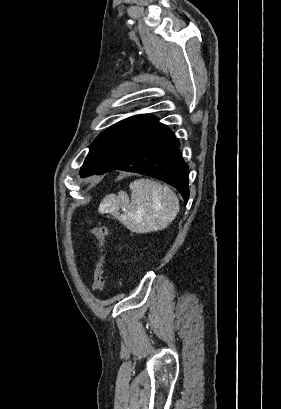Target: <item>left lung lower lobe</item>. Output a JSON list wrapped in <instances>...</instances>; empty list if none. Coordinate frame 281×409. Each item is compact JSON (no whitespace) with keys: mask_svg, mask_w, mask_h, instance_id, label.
Masks as SVG:
<instances>
[{"mask_svg":"<svg viewBox=\"0 0 281 409\" xmlns=\"http://www.w3.org/2000/svg\"><path fill=\"white\" fill-rule=\"evenodd\" d=\"M179 141L165 125L104 164L95 174L123 170L155 177L174 186L187 203L188 166L179 154Z\"/></svg>","mask_w":281,"mask_h":409,"instance_id":"left-lung-lower-lobe-1","label":"left lung lower lobe"}]
</instances>
